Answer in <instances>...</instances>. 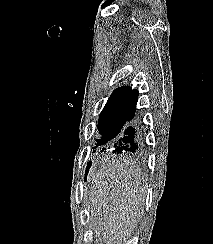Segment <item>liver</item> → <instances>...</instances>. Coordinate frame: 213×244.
I'll use <instances>...</instances> for the list:
<instances>
[{
	"label": "liver",
	"instance_id": "1",
	"mask_svg": "<svg viewBox=\"0 0 213 244\" xmlns=\"http://www.w3.org/2000/svg\"><path fill=\"white\" fill-rule=\"evenodd\" d=\"M88 182L90 218L95 233L112 244H124L143 211L144 175L118 159H107L91 171Z\"/></svg>",
	"mask_w": 213,
	"mask_h": 244
}]
</instances>
